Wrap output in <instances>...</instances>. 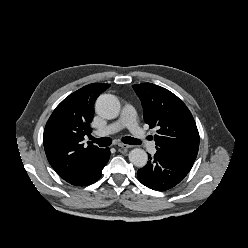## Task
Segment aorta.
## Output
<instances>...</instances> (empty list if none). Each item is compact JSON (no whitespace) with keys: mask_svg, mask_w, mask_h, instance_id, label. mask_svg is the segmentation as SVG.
Masks as SVG:
<instances>
[{"mask_svg":"<svg viewBox=\"0 0 248 248\" xmlns=\"http://www.w3.org/2000/svg\"><path fill=\"white\" fill-rule=\"evenodd\" d=\"M121 105L118 98L112 94H102L98 97L95 110L98 115L106 119H114L120 113ZM129 161L137 167H144L147 164V153L140 148L129 152Z\"/></svg>","mask_w":248,"mask_h":248,"instance_id":"obj_1","label":"aorta"}]
</instances>
